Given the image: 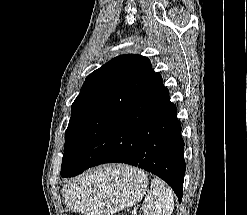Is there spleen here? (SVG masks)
Returning a JSON list of instances; mask_svg holds the SVG:
<instances>
[{"label": "spleen", "instance_id": "1", "mask_svg": "<svg viewBox=\"0 0 247 215\" xmlns=\"http://www.w3.org/2000/svg\"><path fill=\"white\" fill-rule=\"evenodd\" d=\"M144 215H171L174 197L171 188L160 178H153L150 190L143 202Z\"/></svg>", "mask_w": 247, "mask_h": 215}]
</instances>
